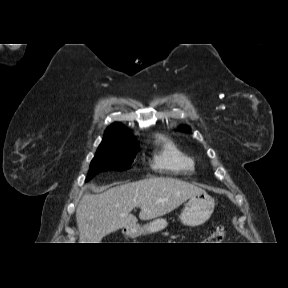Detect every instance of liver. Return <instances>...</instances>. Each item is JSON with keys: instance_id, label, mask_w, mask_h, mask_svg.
Masks as SVG:
<instances>
[{"instance_id": "obj_1", "label": "liver", "mask_w": 288, "mask_h": 288, "mask_svg": "<svg viewBox=\"0 0 288 288\" xmlns=\"http://www.w3.org/2000/svg\"><path fill=\"white\" fill-rule=\"evenodd\" d=\"M202 191L180 179L151 177L117 185L96 195L86 193L76 209L79 241L100 243L118 229L136 227L138 219L131 214L135 207L141 208V220L155 219Z\"/></svg>"}]
</instances>
